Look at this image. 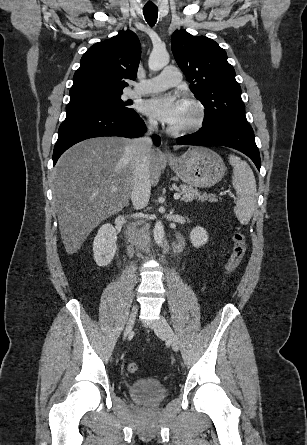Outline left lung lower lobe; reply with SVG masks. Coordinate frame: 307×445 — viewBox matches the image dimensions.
I'll use <instances>...</instances> for the list:
<instances>
[{"label": "left lung lower lobe", "mask_w": 307, "mask_h": 445, "mask_svg": "<svg viewBox=\"0 0 307 445\" xmlns=\"http://www.w3.org/2000/svg\"><path fill=\"white\" fill-rule=\"evenodd\" d=\"M178 144L222 145L241 151L252 159L260 171L259 150L254 139V132L248 123L222 121L202 127L196 133L177 139Z\"/></svg>", "instance_id": "1"}]
</instances>
